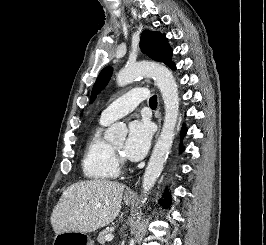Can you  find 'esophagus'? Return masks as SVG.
I'll list each match as a JSON object with an SVG mask.
<instances>
[{
    "mask_svg": "<svg viewBox=\"0 0 266 245\" xmlns=\"http://www.w3.org/2000/svg\"><path fill=\"white\" fill-rule=\"evenodd\" d=\"M157 118H158L159 128H158V131H157V134H156V138L159 135L160 127H161V116H160V114L157 116ZM127 194L132 195L133 194L132 190L127 191Z\"/></svg>",
    "mask_w": 266,
    "mask_h": 245,
    "instance_id": "1",
    "label": "esophagus"
}]
</instances>
